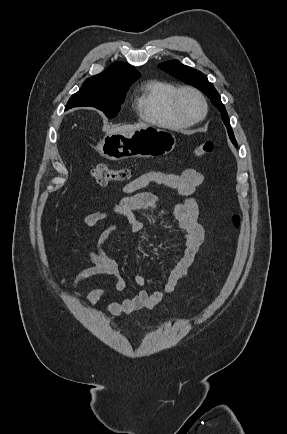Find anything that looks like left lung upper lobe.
Masks as SVG:
<instances>
[{"instance_id":"5c2ea615","label":"left lung upper lobe","mask_w":287,"mask_h":434,"mask_svg":"<svg viewBox=\"0 0 287 434\" xmlns=\"http://www.w3.org/2000/svg\"><path fill=\"white\" fill-rule=\"evenodd\" d=\"M159 67L173 77L185 81L186 83L198 88L210 98L214 106H216L221 112L222 120L227 127L230 140L236 146L237 143L231 129L229 118L227 116V111L221 102L220 95L218 94L212 83L208 81L207 76L196 69H192L179 63L176 60L161 63L159 64Z\"/></svg>"}]
</instances>
